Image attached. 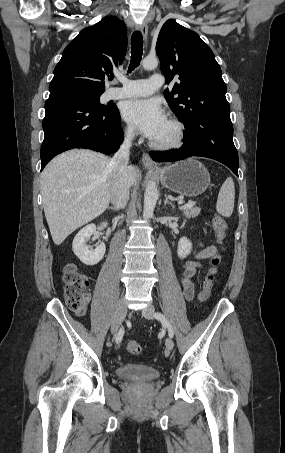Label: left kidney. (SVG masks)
<instances>
[{"label": "left kidney", "instance_id": "left-kidney-1", "mask_svg": "<svg viewBox=\"0 0 285 453\" xmlns=\"http://www.w3.org/2000/svg\"><path fill=\"white\" fill-rule=\"evenodd\" d=\"M192 250V243L187 237L180 238L178 242L177 254L178 257L181 259L186 258L187 255L190 254Z\"/></svg>", "mask_w": 285, "mask_h": 453}]
</instances>
